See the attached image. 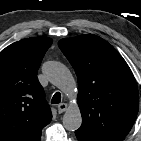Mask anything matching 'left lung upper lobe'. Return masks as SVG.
<instances>
[{
    "mask_svg": "<svg viewBox=\"0 0 141 141\" xmlns=\"http://www.w3.org/2000/svg\"><path fill=\"white\" fill-rule=\"evenodd\" d=\"M58 46L78 77V130L99 141H122L139 108L137 84L125 60L96 35L62 39Z\"/></svg>",
    "mask_w": 141,
    "mask_h": 141,
    "instance_id": "left-lung-upper-lobe-1",
    "label": "left lung upper lobe"
}]
</instances>
